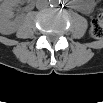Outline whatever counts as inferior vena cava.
<instances>
[{
    "instance_id": "inferior-vena-cava-1",
    "label": "inferior vena cava",
    "mask_w": 103,
    "mask_h": 103,
    "mask_svg": "<svg viewBox=\"0 0 103 103\" xmlns=\"http://www.w3.org/2000/svg\"><path fill=\"white\" fill-rule=\"evenodd\" d=\"M49 6V3L46 0H39L36 3L37 9L43 10Z\"/></svg>"
}]
</instances>
